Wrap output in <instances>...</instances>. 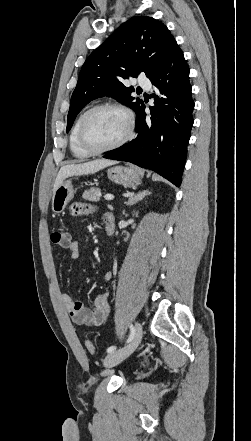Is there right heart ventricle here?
Listing matches in <instances>:
<instances>
[{
    "mask_svg": "<svg viewBox=\"0 0 251 441\" xmlns=\"http://www.w3.org/2000/svg\"><path fill=\"white\" fill-rule=\"evenodd\" d=\"M83 114H81L75 121L72 130L70 132V136H69V145H70V150L72 155L77 158V159H87L89 158L91 155L87 152H85L78 144V140H77V133H78V127H79V122L80 119L82 117Z\"/></svg>",
    "mask_w": 251,
    "mask_h": 441,
    "instance_id": "right-heart-ventricle-1",
    "label": "right heart ventricle"
}]
</instances>
